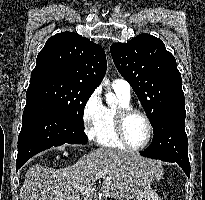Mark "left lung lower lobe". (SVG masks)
<instances>
[{"label": "left lung lower lobe", "instance_id": "1", "mask_svg": "<svg viewBox=\"0 0 205 200\" xmlns=\"http://www.w3.org/2000/svg\"><path fill=\"white\" fill-rule=\"evenodd\" d=\"M185 105L179 104L162 114L153 128L150 147L141 155L162 161L177 163L190 177L188 138L185 132Z\"/></svg>", "mask_w": 205, "mask_h": 200}]
</instances>
